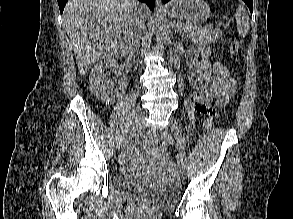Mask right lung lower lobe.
Segmentation results:
<instances>
[{"instance_id": "98d812e1", "label": "right lung lower lobe", "mask_w": 293, "mask_h": 219, "mask_svg": "<svg viewBox=\"0 0 293 219\" xmlns=\"http://www.w3.org/2000/svg\"><path fill=\"white\" fill-rule=\"evenodd\" d=\"M68 0H58L60 12L64 10V6ZM140 2L146 3L148 7L152 10L154 8V0H139Z\"/></svg>"}]
</instances>
